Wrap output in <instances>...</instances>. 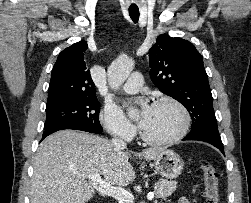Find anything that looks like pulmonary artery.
Here are the masks:
<instances>
[{"label": "pulmonary artery", "instance_id": "1", "mask_svg": "<svg viewBox=\"0 0 251 203\" xmlns=\"http://www.w3.org/2000/svg\"><path fill=\"white\" fill-rule=\"evenodd\" d=\"M143 84V76L140 73H133L123 85V90L127 93L138 92Z\"/></svg>", "mask_w": 251, "mask_h": 203}]
</instances>
